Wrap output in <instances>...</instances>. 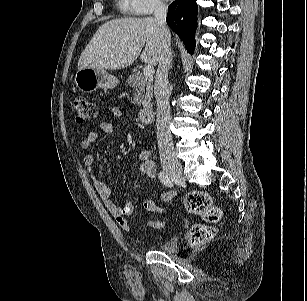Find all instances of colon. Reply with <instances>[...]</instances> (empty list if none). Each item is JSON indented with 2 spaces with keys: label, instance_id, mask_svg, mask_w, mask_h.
<instances>
[{
  "label": "colon",
  "instance_id": "obj_1",
  "mask_svg": "<svg viewBox=\"0 0 307 301\" xmlns=\"http://www.w3.org/2000/svg\"><path fill=\"white\" fill-rule=\"evenodd\" d=\"M72 110L75 120L79 124L93 120L97 117V105L84 97H76L72 101ZM186 210L195 215H200L208 223H215L221 217V210L213 205L210 195L204 191L189 192L184 198ZM150 226H160L161 222H150ZM216 229L210 225H194L190 229V241L193 246H200L214 237Z\"/></svg>",
  "mask_w": 307,
  "mask_h": 301
}]
</instances>
